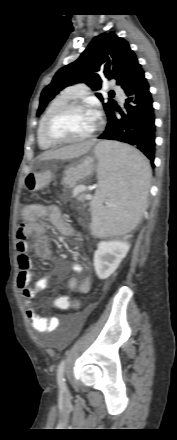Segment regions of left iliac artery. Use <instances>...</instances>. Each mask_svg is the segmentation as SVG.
Here are the masks:
<instances>
[{"mask_svg": "<svg viewBox=\"0 0 177 440\" xmlns=\"http://www.w3.org/2000/svg\"><path fill=\"white\" fill-rule=\"evenodd\" d=\"M64 372H65V360H62L57 369V382L60 389L62 390L66 389Z\"/></svg>", "mask_w": 177, "mask_h": 440, "instance_id": "1", "label": "left iliac artery"}]
</instances>
